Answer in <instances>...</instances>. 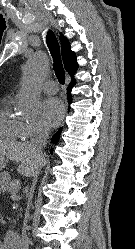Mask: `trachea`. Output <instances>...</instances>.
I'll list each match as a JSON object with an SVG mask.
<instances>
[{
    "label": "trachea",
    "mask_w": 135,
    "mask_h": 249,
    "mask_svg": "<svg viewBox=\"0 0 135 249\" xmlns=\"http://www.w3.org/2000/svg\"><path fill=\"white\" fill-rule=\"evenodd\" d=\"M46 42L53 58V69L55 71L56 77L61 84H64L65 71L61 60L60 46L53 32L49 31L47 33Z\"/></svg>",
    "instance_id": "obj_1"
}]
</instances>
